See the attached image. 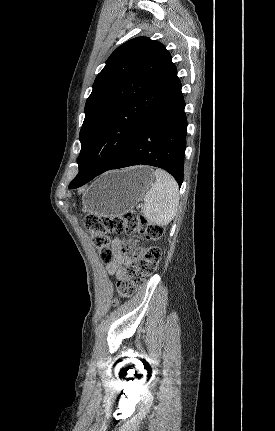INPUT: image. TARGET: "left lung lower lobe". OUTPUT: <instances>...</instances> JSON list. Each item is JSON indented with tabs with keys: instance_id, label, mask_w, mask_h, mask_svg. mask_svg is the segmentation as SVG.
I'll return each instance as SVG.
<instances>
[{
	"instance_id": "1",
	"label": "left lung lower lobe",
	"mask_w": 275,
	"mask_h": 431,
	"mask_svg": "<svg viewBox=\"0 0 275 431\" xmlns=\"http://www.w3.org/2000/svg\"><path fill=\"white\" fill-rule=\"evenodd\" d=\"M181 87L177 77L170 92L112 165L94 175L79 173L69 188H78L105 171L138 164L168 171L181 186L187 135Z\"/></svg>"
}]
</instances>
